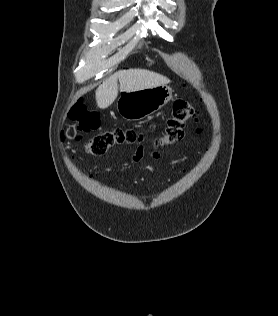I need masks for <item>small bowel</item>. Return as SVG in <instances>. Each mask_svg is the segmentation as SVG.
Masks as SVG:
<instances>
[{
	"mask_svg": "<svg viewBox=\"0 0 278 316\" xmlns=\"http://www.w3.org/2000/svg\"><path fill=\"white\" fill-rule=\"evenodd\" d=\"M144 156H145V150H144V148H143V147H139V148L136 150V152L133 154V156H132V161L137 162V161L141 160ZM152 156H153L154 158H158V157H159V154L156 153V152H154V153H152Z\"/></svg>",
	"mask_w": 278,
	"mask_h": 316,
	"instance_id": "obj_1",
	"label": "small bowel"
}]
</instances>
